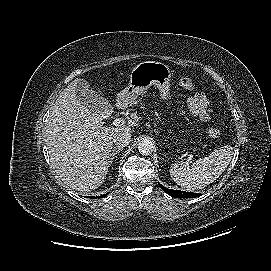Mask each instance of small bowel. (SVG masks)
<instances>
[{
	"label": "small bowel",
	"mask_w": 271,
	"mask_h": 271,
	"mask_svg": "<svg viewBox=\"0 0 271 271\" xmlns=\"http://www.w3.org/2000/svg\"><path fill=\"white\" fill-rule=\"evenodd\" d=\"M188 108L193 116L198 117L202 121L209 120L213 114L210 101L203 92H197L189 98Z\"/></svg>",
	"instance_id": "1"
}]
</instances>
